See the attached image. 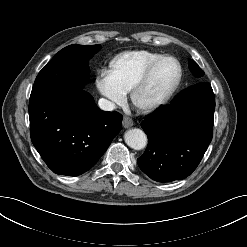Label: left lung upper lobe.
Here are the masks:
<instances>
[{
  "label": "left lung upper lobe",
  "mask_w": 247,
  "mask_h": 247,
  "mask_svg": "<svg viewBox=\"0 0 247 247\" xmlns=\"http://www.w3.org/2000/svg\"><path fill=\"white\" fill-rule=\"evenodd\" d=\"M189 64V68L191 70V72L196 76V77H202L204 75L203 70L198 66V64L193 61V60H189L188 62Z\"/></svg>",
  "instance_id": "left-lung-upper-lobe-1"
}]
</instances>
